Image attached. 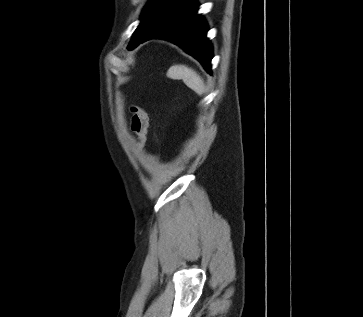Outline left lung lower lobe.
I'll return each mask as SVG.
<instances>
[{
    "label": "left lung lower lobe",
    "mask_w": 363,
    "mask_h": 317,
    "mask_svg": "<svg viewBox=\"0 0 363 317\" xmlns=\"http://www.w3.org/2000/svg\"><path fill=\"white\" fill-rule=\"evenodd\" d=\"M194 0H159L142 37L128 50L152 38L169 40L194 56L211 73L212 48L206 38L208 31L202 17L196 14Z\"/></svg>",
    "instance_id": "obj_1"
}]
</instances>
